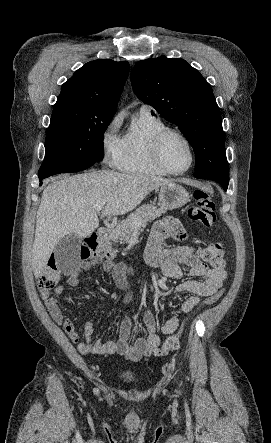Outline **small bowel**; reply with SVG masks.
Segmentation results:
<instances>
[{
  "mask_svg": "<svg viewBox=\"0 0 271 443\" xmlns=\"http://www.w3.org/2000/svg\"><path fill=\"white\" fill-rule=\"evenodd\" d=\"M186 231L181 223L173 217H166L159 220L153 228L145 250V259L151 265L160 266L163 275L170 279H181L186 268L190 279L175 286L173 292H186V297L180 304V312L189 313L199 303L200 297H208L214 294L223 284L226 278L224 270L209 268L195 253V249L190 245L178 246L170 249L163 248L164 240L174 238L185 240ZM90 264L83 262L79 268L74 270L62 285L55 288L56 295H61L66 287H76L80 282L81 274L88 269ZM102 268L105 272L111 273L118 287L126 292V299L130 297L128 278L132 274L130 266L124 263H115L106 260ZM41 298L53 320L63 327L78 350L83 354H109L123 355L132 361H138L144 356H148L161 343V334L170 335L175 332L179 325L177 316H171L161 327V334L157 332L156 321L151 311L147 307L144 312V325L146 334L134 337L132 335V323L130 319L124 318L119 329V336L116 340L104 341L95 340L94 326L91 322L82 324L84 341L80 339L73 322L66 317L60 308L58 299L51 295L49 291L41 292Z\"/></svg>",
  "mask_w": 271,
  "mask_h": 443,
  "instance_id": "c3829d8e",
  "label": "small bowel"
}]
</instances>
